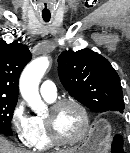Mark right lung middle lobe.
<instances>
[{
	"instance_id": "1",
	"label": "right lung middle lobe",
	"mask_w": 130,
	"mask_h": 153,
	"mask_svg": "<svg viewBox=\"0 0 130 153\" xmlns=\"http://www.w3.org/2000/svg\"><path fill=\"white\" fill-rule=\"evenodd\" d=\"M17 100L0 98V133L12 135L11 119Z\"/></svg>"
}]
</instances>
